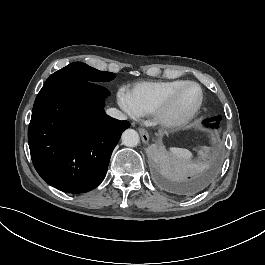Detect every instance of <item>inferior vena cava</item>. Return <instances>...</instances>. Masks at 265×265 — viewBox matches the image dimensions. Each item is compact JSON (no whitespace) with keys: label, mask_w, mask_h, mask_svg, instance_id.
<instances>
[{"label":"inferior vena cava","mask_w":265,"mask_h":265,"mask_svg":"<svg viewBox=\"0 0 265 265\" xmlns=\"http://www.w3.org/2000/svg\"><path fill=\"white\" fill-rule=\"evenodd\" d=\"M107 115L116 118L118 120H126L127 117L116 108H109L106 110Z\"/></svg>","instance_id":"obj_1"}]
</instances>
